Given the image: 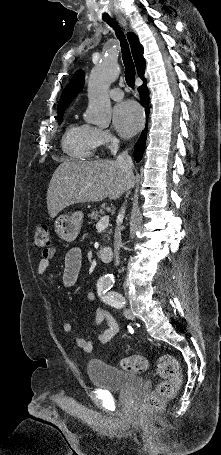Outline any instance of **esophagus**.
<instances>
[{"mask_svg": "<svg viewBox=\"0 0 221 455\" xmlns=\"http://www.w3.org/2000/svg\"><path fill=\"white\" fill-rule=\"evenodd\" d=\"M117 19H118L119 23H120L125 29H127V22H126V20H125L123 17H121V16H118Z\"/></svg>", "mask_w": 221, "mask_h": 455, "instance_id": "esophagus-1", "label": "esophagus"}]
</instances>
